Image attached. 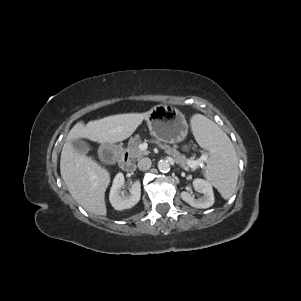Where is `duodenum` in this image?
Wrapping results in <instances>:
<instances>
[{
    "label": "duodenum",
    "mask_w": 301,
    "mask_h": 301,
    "mask_svg": "<svg viewBox=\"0 0 301 301\" xmlns=\"http://www.w3.org/2000/svg\"><path fill=\"white\" fill-rule=\"evenodd\" d=\"M98 156L103 162L108 164L119 163L120 167L125 172H133L135 164L120 145L107 144L102 145L98 149Z\"/></svg>",
    "instance_id": "duodenum-1"
}]
</instances>
